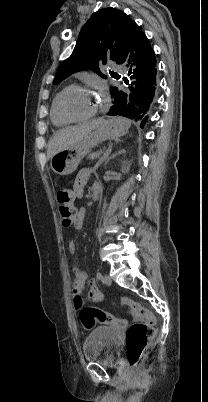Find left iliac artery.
Returning a JSON list of instances; mask_svg holds the SVG:
<instances>
[{"mask_svg":"<svg viewBox=\"0 0 208 402\" xmlns=\"http://www.w3.org/2000/svg\"><path fill=\"white\" fill-rule=\"evenodd\" d=\"M96 276H97V279H98V280H101V279H102V274H101V272L98 271Z\"/></svg>","mask_w":208,"mask_h":402,"instance_id":"44dca946","label":"left iliac artery"}]
</instances>
